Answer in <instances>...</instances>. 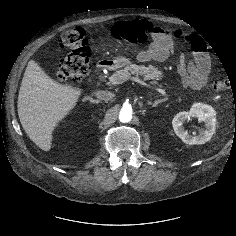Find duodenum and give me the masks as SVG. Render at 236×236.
I'll list each match as a JSON object with an SVG mask.
<instances>
[{"label": "duodenum", "mask_w": 236, "mask_h": 236, "mask_svg": "<svg viewBox=\"0 0 236 236\" xmlns=\"http://www.w3.org/2000/svg\"><path fill=\"white\" fill-rule=\"evenodd\" d=\"M113 65H114V62L112 60H101L96 64L95 70L97 72H101L104 69L112 67Z\"/></svg>", "instance_id": "1"}]
</instances>
